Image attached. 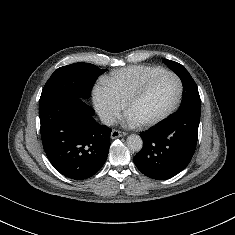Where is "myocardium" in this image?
I'll return each instance as SVG.
<instances>
[{"instance_id":"obj_1","label":"myocardium","mask_w":235,"mask_h":235,"mask_svg":"<svg viewBox=\"0 0 235 235\" xmlns=\"http://www.w3.org/2000/svg\"><path fill=\"white\" fill-rule=\"evenodd\" d=\"M164 76H170L173 77L178 84V92H177V96L173 102V104L168 108V110H166L163 114H161L160 116L152 119V120H148V121H144V122H138L137 125L139 127L142 128H150L153 126H156L162 122H164L166 119H168L179 107L181 100H182V96H183V82L181 80V78L175 74L174 72L171 71H162L159 72L157 74L152 75L151 77H149L132 95L131 97L127 100L126 104H125V109H126V113L129 114L131 108L133 107V105L138 102L149 90V88L151 87V85L159 78L164 77Z\"/></svg>"}]
</instances>
